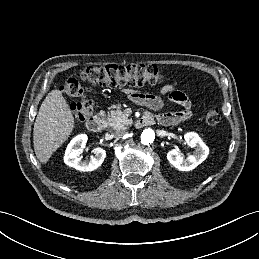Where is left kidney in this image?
Listing matches in <instances>:
<instances>
[{
    "label": "left kidney",
    "instance_id": "left-kidney-1",
    "mask_svg": "<svg viewBox=\"0 0 259 259\" xmlns=\"http://www.w3.org/2000/svg\"><path fill=\"white\" fill-rule=\"evenodd\" d=\"M187 145L194 148V154L184 159L178 149H172L167 153V159L171 165L180 171H190L201 164L208 156L209 149L198 134L189 132L184 135Z\"/></svg>",
    "mask_w": 259,
    "mask_h": 259
}]
</instances>
